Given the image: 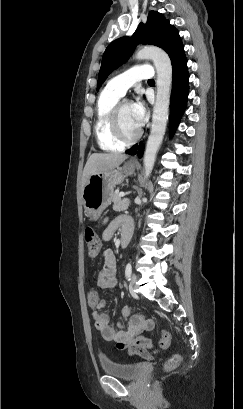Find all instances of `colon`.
I'll list each match as a JSON object with an SVG mask.
<instances>
[{
	"instance_id": "1",
	"label": "colon",
	"mask_w": 243,
	"mask_h": 409,
	"mask_svg": "<svg viewBox=\"0 0 243 409\" xmlns=\"http://www.w3.org/2000/svg\"><path fill=\"white\" fill-rule=\"evenodd\" d=\"M84 238L90 256H96L101 250V241L98 234L91 228L87 227L84 231ZM99 302V294L95 290L88 293V303L90 306H95ZM171 341V336L168 332L163 331L159 341L161 349H167ZM182 360L181 354H173L167 359L164 364V370L171 371L178 367Z\"/></svg>"
}]
</instances>
